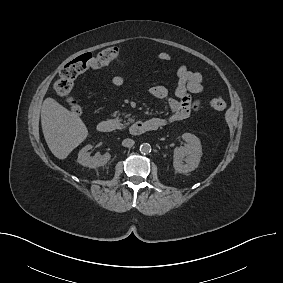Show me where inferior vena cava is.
I'll use <instances>...</instances> for the list:
<instances>
[{
  "label": "inferior vena cava",
  "mask_w": 283,
  "mask_h": 283,
  "mask_svg": "<svg viewBox=\"0 0 283 283\" xmlns=\"http://www.w3.org/2000/svg\"><path fill=\"white\" fill-rule=\"evenodd\" d=\"M134 140H132V139H129V138H127V139H124L123 141H122V145L124 146V147H128V148H131L133 145H134Z\"/></svg>",
  "instance_id": "602c4592"
}]
</instances>
